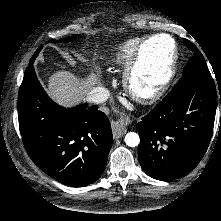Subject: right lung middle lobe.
Listing matches in <instances>:
<instances>
[{"mask_svg":"<svg viewBox=\"0 0 221 221\" xmlns=\"http://www.w3.org/2000/svg\"><path fill=\"white\" fill-rule=\"evenodd\" d=\"M69 40H72V38L69 37V38H66V39H64V40H59V42H65V41H69ZM53 42H58V41L54 40ZM41 48H42V47H40V48L35 52V54L33 55V57L31 58L30 63H29V67L32 66V64H33V62H34L36 56H37L38 53L40 52ZM27 70H28V68H27ZM27 70H26V72H27Z\"/></svg>","mask_w":221,"mask_h":221,"instance_id":"1","label":"right lung middle lobe"}]
</instances>
